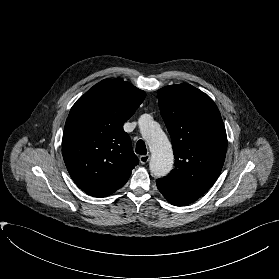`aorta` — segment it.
I'll list each match as a JSON object with an SVG mask.
<instances>
[{
    "instance_id": "762f6f07",
    "label": "aorta",
    "mask_w": 279,
    "mask_h": 279,
    "mask_svg": "<svg viewBox=\"0 0 279 279\" xmlns=\"http://www.w3.org/2000/svg\"><path fill=\"white\" fill-rule=\"evenodd\" d=\"M139 128L151 151L149 165L151 173L156 177L167 175L174 163L173 150L168 137L149 115H142L139 118Z\"/></svg>"
}]
</instances>
